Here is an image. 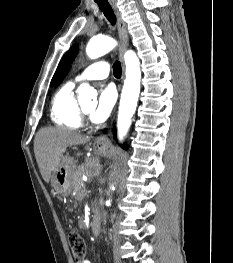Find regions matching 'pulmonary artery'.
Instances as JSON below:
<instances>
[{
    "label": "pulmonary artery",
    "instance_id": "pulmonary-artery-1",
    "mask_svg": "<svg viewBox=\"0 0 233 263\" xmlns=\"http://www.w3.org/2000/svg\"><path fill=\"white\" fill-rule=\"evenodd\" d=\"M110 66L107 61L101 60L87 66L79 73L75 80L78 82L87 80H101L108 77Z\"/></svg>",
    "mask_w": 233,
    "mask_h": 263
}]
</instances>
